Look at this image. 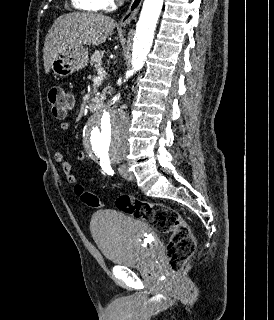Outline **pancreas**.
<instances>
[{"mask_svg": "<svg viewBox=\"0 0 274 320\" xmlns=\"http://www.w3.org/2000/svg\"><path fill=\"white\" fill-rule=\"evenodd\" d=\"M104 56V52L102 50H96L94 54H91L90 64L94 66V68H102V58ZM108 90V88H105Z\"/></svg>", "mask_w": 274, "mask_h": 320, "instance_id": "cf45deb5", "label": "pancreas"}]
</instances>
